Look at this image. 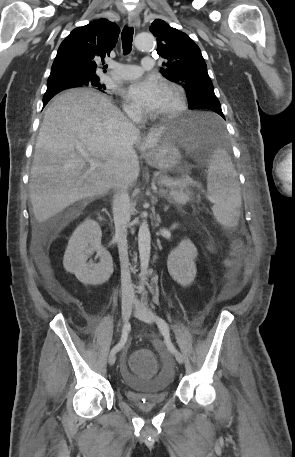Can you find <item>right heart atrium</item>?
Instances as JSON below:
<instances>
[{
	"instance_id": "1",
	"label": "right heart atrium",
	"mask_w": 295,
	"mask_h": 457,
	"mask_svg": "<svg viewBox=\"0 0 295 457\" xmlns=\"http://www.w3.org/2000/svg\"><path fill=\"white\" fill-rule=\"evenodd\" d=\"M124 109L127 115L133 119H139L142 117V111L130 103H125Z\"/></svg>"
}]
</instances>
